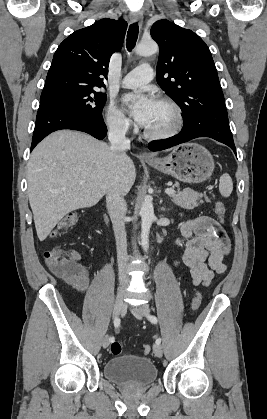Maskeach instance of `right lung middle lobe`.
Returning a JSON list of instances; mask_svg holds the SVG:
<instances>
[{
    "label": "right lung middle lobe",
    "instance_id": "obj_1",
    "mask_svg": "<svg viewBox=\"0 0 267 419\" xmlns=\"http://www.w3.org/2000/svg\"><path fill=\"white\" fill-rule=\"evenodd\" d=\"M50 101L91 120L102 118L106 95L96 89L65 88L41 94L40 102Z\"/></svg>",
    "mask_w": 267,
    "mask_h": 419
}]
</instances>
